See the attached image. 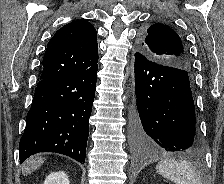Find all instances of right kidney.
I'll return each mask as SVG.
<instances>
[{
    "label": "right kidney",
    "instance_id": "1",
    "mask_svg": "<svg viewBox=\"0 0 224 184\" xmlns=\"http://www.w3.org/2000/svg\"><path fill=\"white\" fill-rule=\"evenodd\" d=\"M43 184H70L65 172H52L49 174Z\"/></svg>",
    "mask_w": 224,
    "mask_h": 184
}]
</instances>
